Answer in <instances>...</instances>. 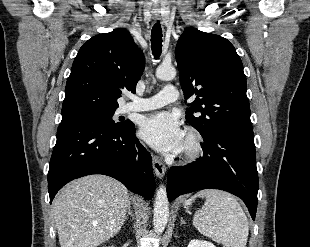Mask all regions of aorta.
<instances>
[{
    "mask_svg": "<svg viewBox=\"0 0 310 247\" xmlns=\"http://www.w3.org/2000/svg\"><path fill=\"white\" fill-rule=\"evenodd\" d=\"M176 76V69L172 66H159L156 70V77L160 80H172ZM169 218V202L166 187L161 185L156 192L154 204L153 226L156 233L164 231Z\"/></svg>",
    "mask_w": 310,
    "mask_h": 247,
    "instance_id": "aorta-1",
    "label": "aorta"
}]
</instances>
